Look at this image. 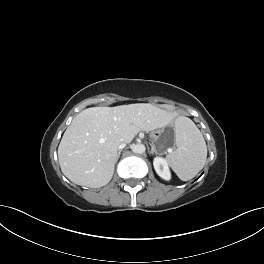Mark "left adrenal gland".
Masks as SVG:
<instances>
[{
  "mask_svg": "<svg viewBox=\"0 0 264 264\" xmlns=\"http://www.w3.org/2000/svg\"><path fill=\"white\" fill-rule=\"evenodd\" d=\"M150 145H151V151H150V153H151V154H154V153H155V154H158L155 145H154L153 143H151Z\"/></svg>",
  "mask_w": 264,
  "mask_h": 264,
  "instance_id": "1",
  "label": "left adrenal gland"
}]
</instances>
